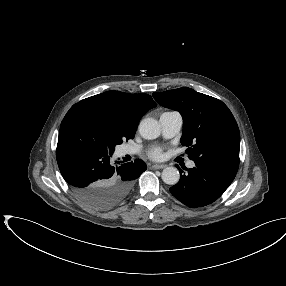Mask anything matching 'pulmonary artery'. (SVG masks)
I'll return each mask as SVG.
<instances>
[{
	"mask_svg": "<svg viewBox=\"0 0 286 286\" xmlns=\"http://www.w3.org/2000/svg\"><path fill=\"white\" fill-rule=\"evenodd\" d=\"M162 134L165 138H172L175 135L179 133L181 130L183 119L179 112L176 111H170V112H164L159 119ZM136 151L135 149L131 147H125L124 153L127 154H134ZM188 167L192 168L194 167V162L189 161Z\"/></svg>",
	"mask_w": 286,
	"mask_h": 286,
	"instance_id": "1",
	"label": "pulmonary artery"
}]
</instances>
